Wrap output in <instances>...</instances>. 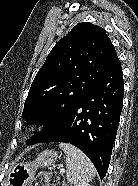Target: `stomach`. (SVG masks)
<instances>
[{
	"mask_svg": "<svg viewBox=\"0 0 138 186\" xmlns=\"http://www.w3.org/2000/svg\"><path fill=\"white\" fill-rule=\"evenodd\" d=\"M58 154L53 150L41 152L33 162H20L15 164L10 170L6 186H28L38 167H49L54 165Z\"/></svg>",
	"mask_w": 138,
	"mask_h": 186,
	"instance_id": "obj_1",
	"label": "stomach"
}]
</instances>
